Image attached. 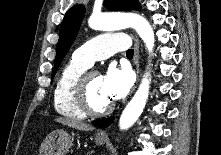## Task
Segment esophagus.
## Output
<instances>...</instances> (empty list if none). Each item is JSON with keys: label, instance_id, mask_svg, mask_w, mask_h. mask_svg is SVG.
Here are the masks:
<instances>
[{"label": "esophagus", "instance_id": "34e87169", "mask_svg": "<svg viewBox=\"0 0 221 155\" xmlns=\"http://www.w3.org/2000/svg\"><path fill=\"white\" fill-rule=\"evenodd\" d=\"M133 39H134V49H135L134 64L136 66L137 83H138L139 75H140V67H139V40H138V38L135 35L133 36ZM135 88H136V86H135ZM98 136L103 137V138H107L108 137V132L106 130L100 131V132H98Z\"/></svg>", "mask_w": 221, "mask_h": 155}]
</instances>
